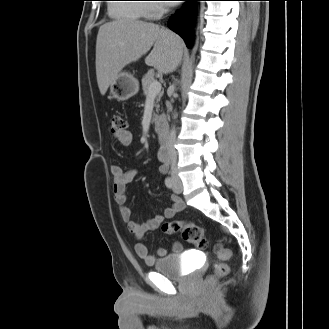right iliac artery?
Segmentation results:
<instances>
[{
  "instance_id": "82829eb1",
  "label": "right iliac artery",
  "mask_w": 329,
  "mask_h": 329,
  "mask_svg": "<svg viewBox=\"0 0 329 329\" xmlns=\"http://www.w3.org/2000/svg\"><path fill=\"white\" fill-rule=\"evenodd\" d=\"M174 181L171 177L165 179V185L167 188L171 189L173 187Z\"/></svg>"
}]
</instances>
